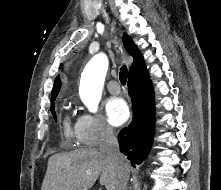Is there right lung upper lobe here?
Masks as SVG:
<instances>
[{"instance_id": "right-lung-upper-lobe-1", "label": "right lung upper lobe", "mask_w": 221, "mask_h": 190, "mask_svg": "<svg viewBox=\"0 0 221 190\" xmlns=\"http://www.w3.org/2000/svg\"><path fill=\"white\" fill-rule=\"evenodd\" d=\"M123 44L126 50L134 58V62L129 69V78L139 77L148 74L142 55L140 54L134 42L132 41L131 37L127 34L123 35ZM60 87V77L57 76V78L54 81V86L51 92V102L54 101L57 97L58 92L60 91Z\"/></svg>"}]
</instances>
